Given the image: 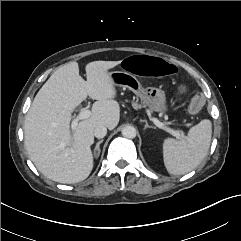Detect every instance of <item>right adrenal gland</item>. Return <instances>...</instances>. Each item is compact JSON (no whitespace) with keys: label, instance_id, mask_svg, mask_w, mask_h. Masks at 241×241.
Wrapping results in <instances>:
<instances>
[{"label":"right adrenal gland","instance_id":"right-adrenal-gland-1","mask_svg":"<svg viewBox=\"0 0 241 241\" xmlns=\"http://www.w3.org/2000/svg\"><path fill=\"white\" fill-rule=\"evenodd\" d=\"M103 142V139L102 140H100V141H98L97 143H96V146H95V148H94V155H95V157L96 158H98L99 157V155H100V144Z\"/></svg>","mask_w":241,"mask_h":241}]
</instances>
